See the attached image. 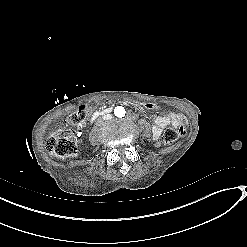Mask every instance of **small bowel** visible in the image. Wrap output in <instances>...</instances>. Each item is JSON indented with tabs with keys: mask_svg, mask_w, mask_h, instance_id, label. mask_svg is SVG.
Wrapping results in <instances>:
<instances>
[{
	"mask_svg": "<svg viewBox=\"0 0 247 247\" xmlns=\"http://www.w3.org/2000/svg\"><path fill=\"white\" fill-rule=\"evenodd\" d=\"M183 115L180 113H168L155 118L153 124V135L158 139L163 131L169 125H179L183 122Z\"/></svg>",
	"mask_w": 247,
	"mask_h": 247,
	"instance_id": "1",
	"label": "small bowel"
}]
</instances>
